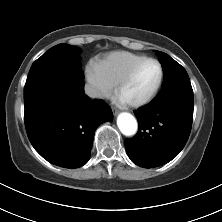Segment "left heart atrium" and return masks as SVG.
Listing matches in <instances>:
<instances>
[{
	"instance_id": "39dd6f15",
	"label": "left heart atrium",
	"mask_w": 222,
	"mask_h": 222,
	"mask_svg": "<svg viewBox=\"0 0 222 222\" xmlns=\"http://www.w3.org/2000/svg\"><path fill=\"white\" fill-rule=\"evenodd\" d=\"M119 102L122 103V104H125V103H126V101L123 100L121 97L119 98Z\"/></svg>"
}]
</instances>
